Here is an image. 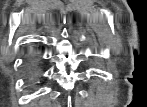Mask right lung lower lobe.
<instances>
[{"label":"right lung lower lobe","mask_w":147,"mask_h":107,"mask_svg":"<svg viewBox=\"0 0 147 107\" xmlns=\"http://www.w3.org/2000/svg\"><path fill=\"white\" fill-rule=\"evenodd\" d=\"M35 77V72L33 71L32 73H31V78H34Z\"/></svg>","instance_id":"right-lung-lower-lobe-1"}]
</instances>
